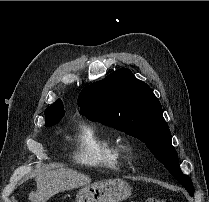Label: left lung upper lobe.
<instances>
[{"label":"left lung upper lobe","instance_id":"5c2ea615","mask_svg":"<svg viewBox=\"0 0 209 202\" xmlns=\"http://www.w3.org/2000/svg\"><path fill=\"white\" fill-rule=\"evenodd\" d=\"M80 114L112 126L144 142L191 196L194 187L182 173L162 106L150 87L121 68L85 87L79 97Z\"/></svg>","mask_w":209,"mask_h":202}]
</instances>
